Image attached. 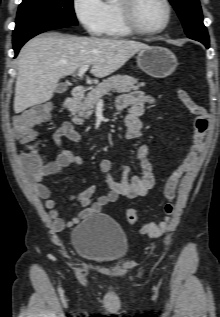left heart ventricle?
<instances>
[{"mask_svg":"<svg viewBox=\"0 0 220 317\" xmlns=\"http://www.w3.org/2000/svg\"><path fill=\"white\" fill-rule=\"evenodd\" d=\"M167 10L162 0H140L136 18L144 29H157L166 20Z\"/></svg>","mask_w":220,"mask_h":317,"instance_id":"b2bd125f","label":"left heart ventricle"}]
</instances>
